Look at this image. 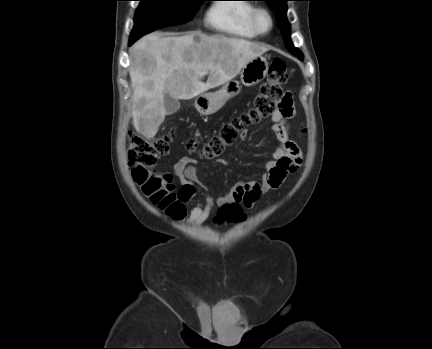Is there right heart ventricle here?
<instances>
[{
	"label": "right heart ventricle",
	"instance_id": "right-heart-ventricle-1",
	"mask_svg": "<svg viewBox=\"0 0 432 349\" xmlns=\"http://www.w3.org/2000/svg\"><path fill=\"white\" fill-rule=\"evenodd\" d=\"M255 7L247 0H218L210 6L206 22L214 30L230 37L254 39L257 33L251 26L250 16Z\"/></svg>",
	"mask_w": 432,
	"mask_h": 349
}]
</instances>
